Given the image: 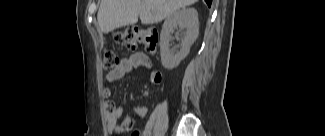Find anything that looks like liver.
<instances>
[{
	"label": "liver",
	"instance_id": "6515ba94",
	"mask_svg": "<svg viewBox=\"0 0 325 136\" xmlns=\"http://www.w3.org/2000/svg\"><path fill=\"white\" fill-rule=\"evenodd\" d=\"M197 0H101L97 14L100 31L109 33L135 24L140 17L145 25L159 23L180 8Z\"/></svg>",
	"mask_w": 325,
	"mask_h": 136
}]
</instances>
